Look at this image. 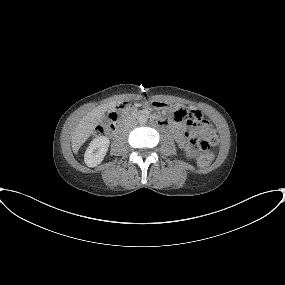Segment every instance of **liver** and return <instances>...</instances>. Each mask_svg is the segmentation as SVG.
<instances>
[{
    "label": "liver",
    "mask_w": 285,
    "mask_h": 285,
    "mask_svg": "<svg viewBox=\"0 0 285 285\" xmlns=\"http://www.w3.org/2000/svg\"><path fill=\"white\" fill-rule=\"evenodd\" d=\"M114 105V102L99 105L82 118L71 137L72 150L74 153L78 152L80 147L91 136L96 126L102 121L105 112Z\"/></svg>",
    "instance_id": "1"
}]
</instances>
